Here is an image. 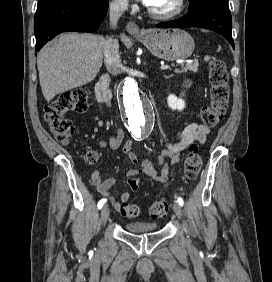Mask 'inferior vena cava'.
<instances>
[{
  "label": "inferior vena cava",
  "instance_id": "inferior-vena-cava-1",
  "mask_svg": "<svg viewBox=\"0 0 272 282\" xmlns=\"http://www.w3.org/2000/svg\"><path fill=\"white\" fill-rule=\"evenodd\" d=\"M126 9V4L121 2H113L109 6V20L112 28H116L119 18ZM104 62L108 72L117 76L121 73V60L119 56L118 41L113 37L105 40L104 44Z\"/></svg>",
  "mask_w": 272,
  "mask_h": 282
}]
</instances>
